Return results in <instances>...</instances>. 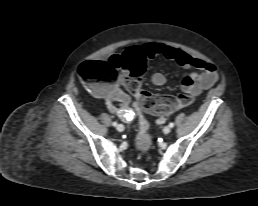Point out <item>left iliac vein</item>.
Wrapping results in <instances>:
<instances>
[{"label": "left iliac vein", "instance_id": "4c4485c4", "mask_svg": "<svg viewBox=\"0 0 258 206\" xmlns=\"http://www.w3.org/2000/svg\"><path fill=\"white\" fill-rule=\"evenodd\" d=\"M170 131H171V129H170V127H168V126H166V127L163 128V132H164L165 134L170 133Z\"/></svg>", "mask_w": 258, "mask_h": 206}]
</instances>
